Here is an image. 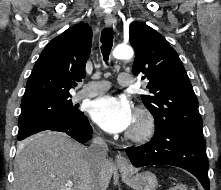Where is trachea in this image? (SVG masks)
Returning a JSON list of instances; mask_svg holds the SVG:
<instances>
[{
    "mask_svg": "<svg viewBox=\"0 0 221 190\" xmlns=\"http://www.w3.org/2000/svg\"><path fill=\"white\" fill-rule=\"evenodd\" d=\"M101 52L104 61L107 63L109 54L113 46V29L111 27L104 28L101 32Z\"/></svg>",
    "mask_w": 221,
    "mask_h": 190,
    "instance_id": "1",
    "label": "trachea"
}]
</instances>
